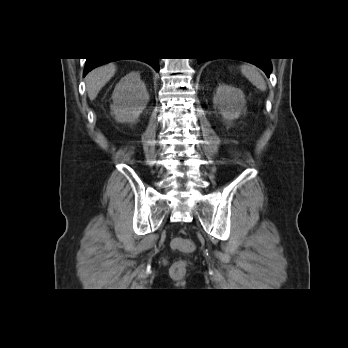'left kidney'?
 <instances>
[{"label": "left kidney", "instance_id": "5707ae66", "mask_svg": "<svg viewBox=\"0 0 348 348\" xmlns=\"http://www.w3.org/2000/svg\"><path fill=\"white\" fill-rule=\"evenodd\" d=\"M214 108L218 109L226 122H231L241 115L246 105L245 95L238 88L219 85L213 97Z\"/></svg>", "mask_w": 348, "mask_h": 348}]
</instances>
